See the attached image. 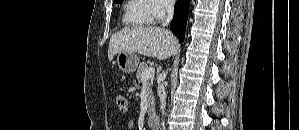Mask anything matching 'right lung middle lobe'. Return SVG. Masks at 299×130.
I'll return each instance as SVG.
<instances>
[{
  "mask_svg": "<svg viewBox=\"0 0 299 130\" xmlns=\"http://www.w3.org/2000/svg\"><path fill=\"white\" fill-rule=\"evenodd\" d=\"M122 2H123V0H118L115 3L118 4V3H122Z\"/></svg>",
  "mask_w": 299,
  "mask_h": 130,
  "instance_id": "right-lung-middle-lobe-1",
  "label": "right lung middle lobe"
}]
</instances>
